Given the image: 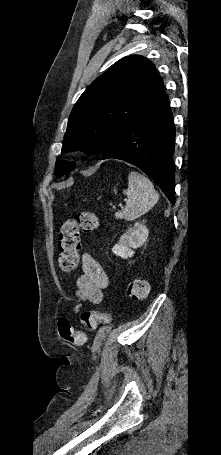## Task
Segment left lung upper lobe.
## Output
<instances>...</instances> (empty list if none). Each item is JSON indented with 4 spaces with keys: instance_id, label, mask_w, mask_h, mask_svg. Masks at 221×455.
I'll return each instance as SVG.
<instances>
[{
    "instance_id": "5c2ea615",
    "label": "left lung upper lobe",
    "mask_w": 221,
    "mask_h": 455,
    "mask_svg": "<svg viewBox=\"0 0 221 455\" xmlns=\"http://www.w3.org/2000/svg\"><path fill=\"white\" fill-rule=\"evenodd\" d=\"M164 93L163 80L151 61L138 55L120 59L87 87L75 104L62 152L102 153ZM74 168V162L58 158L55 175L60 178Z\"/></svg>"
}]
</instances>
